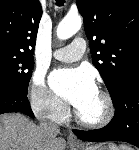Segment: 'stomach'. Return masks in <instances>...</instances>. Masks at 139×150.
Returning a JSON list of instances; mask_svg holds the SVG:
<instances>
[{
  "label": "stomach",
  "mask_w": 139,
  "mask_h": 150,
  "mask_svg": "<svg viewBox=\"0 0 139 150\" xmlns=\"http://www.w3.org/2000/svg\"><path fill=\"white\" fill-rule=\"evenodd\" d=\"M73 150H119L114 144L111 143H100L92 146L83 148L72 147Z\"/></svg>",
  "instance_id": "obj_1"
}]
</instances>
